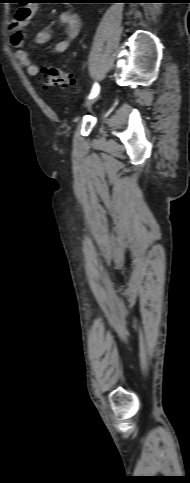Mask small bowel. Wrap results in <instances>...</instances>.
Segmentation results:
<instances>
[{"label":"small bowel","instance_id":"obj_1","mask_svg":"<svg viewBox=\"0 0 190 483\" xmlns=\"http://www.w3.org/2000/svg\"><path fill=\"white\" fill-rule=\"evenodd\" d=\"M36 7L31 5H22L14 13L11 19V32L10 43L16 48L15 59L17 62L26 69V72L30 76H36L39 73V67L35 64L28 51L24 48V35L25 29L28 26L29 21L34 16ZM59 22L65 28V36L62 40L58 41L50 53L58 55L64 53L71 43L76 39L81 29V21L79 16L71 9L63 11L59 16ZM53 36L52 29H43L36 33L35 43L46 44Z\"/></svg>","mask_w":190,"mask_h":483}]
</instances>
